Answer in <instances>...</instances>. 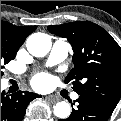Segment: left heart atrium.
I'll return each instance as SVG.
<instances>
[{"instance_id":"obj_1","label":"left heart atrium","mask_w":121,"mask_h":121,"mask_svg":"<svg viewBox=\"0 0 121 121\" xmlns=\"http://www.w3.org/2000/svg\"><path fill=\"white\" fill-rule=\"evenodd\" d=\"M51 77L46 74L38 75L33 80V86L38 90H46L51 85Z\"/></svg>"}]
</instances>
